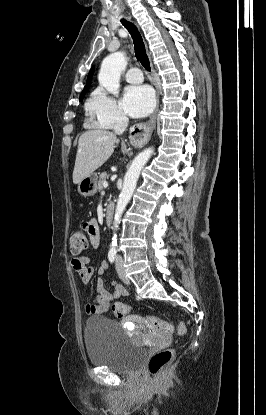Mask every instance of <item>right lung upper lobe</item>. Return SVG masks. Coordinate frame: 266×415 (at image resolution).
<instances>
[{
  "mask_svg": "<svg viewBox=\"0 0 266 415\" xmlns=\"http://www.w3.org/2000/svg\"><path fill=\"white\" fill-rule=\"evenodd\" d=\"M93 73H94V66L91 68V70L89 72L88 79H87V82H86V86L84 87V89L81 93V97L82 96L84 97L86 91L89 89Z\"/></svg>",
  "mask_w": 266,
  "mask_h": 415,
  "instance_id": "obj_1",
  "label": "right lung upper lobe"
}]
</instances>
